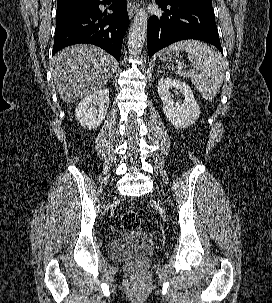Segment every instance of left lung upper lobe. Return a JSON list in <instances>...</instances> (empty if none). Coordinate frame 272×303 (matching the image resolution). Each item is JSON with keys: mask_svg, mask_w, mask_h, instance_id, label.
Instances as JSON below:
<instances>
[{"mask_svg": "<svg viewBox=\"0 0 272 303\" xmlns=\"http://www.w3.org/2000/svg\"><path fill=\"white\" fill-rule=\"evenodd\" d=\"M164 4H197V5H212L211 0H160Z\"/></svg>", "mask_w": 272, "mask_h": 303, "instance_id": "obj_1", "label": "left lung upper lobe"}]
</instances>
